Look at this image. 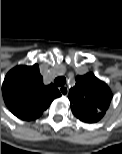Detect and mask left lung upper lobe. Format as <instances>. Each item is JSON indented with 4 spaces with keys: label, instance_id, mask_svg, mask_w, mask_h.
I'll return each mask as SVG.
<instances>
[{
    "label": "left lung upper lobe",
    "instance_id": "obj_1",
    "mask_svg": "<svg viewBox=\"0 0 122 154\" xmlns=\"http://www.w3.org/2000/svg\"><path fill=\"white\" fill-rule=\"evenodd\" d=\"M112 93L104 82L93 73L76 77V84L69 91L73 114L83 122L94 123L105 114Z\"/></svg>",
    "mask_w": 122,
    "mask_h": 154
}]
</instances>
